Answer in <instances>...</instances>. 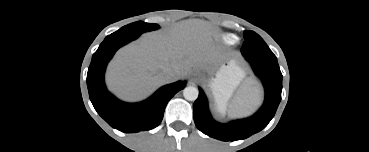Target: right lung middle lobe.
<instances>
[{
	"mask_svg": "<svg viewBox=\"0 0 369 152\" xmlns=\"http://www.w3.org/2000/svg\"><path fill=\"white\" fill-rule=\"evenodd\" d=\"M158 28H159L158 24H148L142 21H138V22L122 27L117 32H124V33L140 35L144 32L156 30Z\"/></svg>",
	"mask_w": 369,
	"mask_h": 152,
	"instance_id": "1",
	"label": "right lung middle lobe"
}]
</instances>
